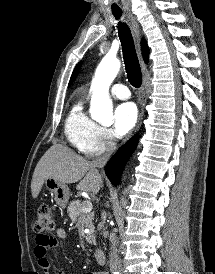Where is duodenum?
I'll return each mask as SVG.
<instances>
[{
  "mask_svg": "<svg viewBox=\"0 0 215 274\" xmlns=\"http://www.w3.org/2000/svg\"><path fill=\"white\" fill-rule=\"evenodd\" d=\"M95 259L99 264H104L106 261L105 252L102 248H97L95 250ZM106 274V273H105Z\"/></svg>",
  "mask_w": 215,
  "mask_h": 274,
  "instance_id": "1",
  "label": "duodenum"
}]
</instances>
